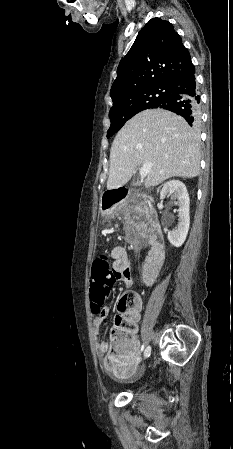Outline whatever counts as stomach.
<instances>
[{
	"instance_id": "stomach-1",
	"label": "stomach",
	"mask_w": 233,
	"mask_h": 449,
	"mask_svg": "<svg viewBox=\"0 0 233 449\" xmlns=\"http://www.w3.org/2000/svg\"><path fill=\"white\" fill-rule=\"evenodd\" d=\"M101 211L104 216L113 217L120 212V206H102Z\"/></svg>"
}]
</instances>
